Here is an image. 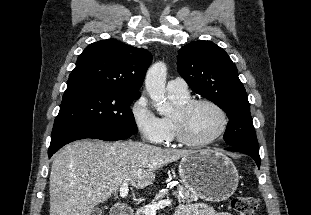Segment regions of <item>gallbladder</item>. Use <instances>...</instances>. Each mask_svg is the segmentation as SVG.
<instances>
[{
	"label": "gallbladder",
	"mask_w": 311,
	"mask_h": 215,
	"mask_svg": "<svg viewBox=\"0 0 311 215\" xmlns=\"http://www.w3.org/2000/svg\"><path fill=\"white\" fill-rule=\"evenodd\" d=\"M91 215H102V209L99 207H96Z\"/></svg>",
	"instance_id": "gallbladder-1"
}]
</instances>
